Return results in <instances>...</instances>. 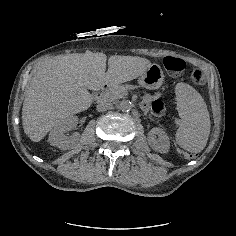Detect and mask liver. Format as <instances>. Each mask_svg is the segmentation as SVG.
<instances>
[{
    "instance_id": "6515ba94",
    "label": "liver",
    "mask_w": 236,
    "mask_h": 236,
    "mask_svg": "<svg viewBox=\"0 0 236 236\" xmlns=\"http://www.w3.org/2000/svg\"><path fill=\"white\" fill-rule=\"evenodd\" d=\"M148 63L132 56L114 55L107 60L106 54L91 51L44 57L23 102L25 134L33 142L41 141L53 128L91 106L93 97L88 90L131 81L146 71Z\"/></svg>"
}]
</instances>
